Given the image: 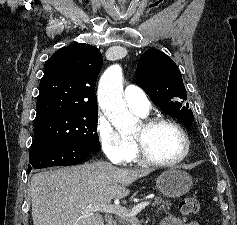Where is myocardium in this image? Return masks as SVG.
<instances>
[{
    "mask_svg": "<svg viewBox=\"0 0 237 225\" xmlns=\"http://www.w3.org/2000/svg\"><path fill=\"white\" fill-rule=\"evenodd\" d=\"M159 125H169L175 128L179 132V134L181 135L184 141V150L182 154L174 160L165 161V160L156 159L147 152L142 140L134 137L133 144H134L135 158L138 159L141 163L151 165V166L168 167V166H174L181 163L188 156L190 152V139L188 137V134L178 122L172 119H168L164 117H154V118L146 119L142 122V127L145 131H150Z\"/></svg>",
    "mask_w": 237,
    "mask_h": 225,
    "instance_id": "1",
    "label": "myocardium"
}]
</instances>
